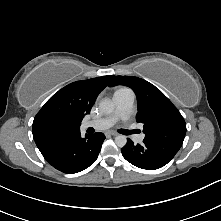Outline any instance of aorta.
<instances>
[{
  "mask_svg": "<svg viewBox=\"0 0 221 221\" xmlns=\"http://www.w3.org/2000/svg\"><path fill=\"white\" fill-rule=\"evenodd\" d=\"M99 109L104 114H111L115 109V105L111 100L105 99L99 103ZM115 143L118 147H124L127 143L126 136H124V135L116 136Z\"/></svg>",
  "mask_w": 221,
  "mask_h": 221,
  "instance_id": "obj_1",
  "label": "aorta"
}]
</instances>
